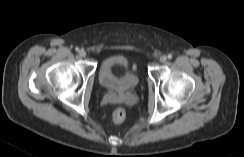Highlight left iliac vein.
Listing matches in <instances>:
<instances>
[{"label": "left iliac vein", "instance_id": "1", "mask_svg": "<svg viewBox=\"0 0 244 157\" xmlns=\"http://www.w3.org/2000/svg\"><path fill=\"white\" fill-rule=\"evenodd\" d=\"M167 61V57L166 56H161L160 57V62H162V63H165Z\"/></svg>", "mask_w": 244, "mask_h": 157}]
</instances>
